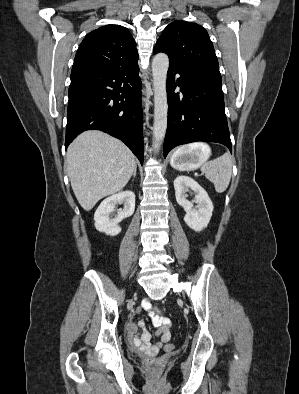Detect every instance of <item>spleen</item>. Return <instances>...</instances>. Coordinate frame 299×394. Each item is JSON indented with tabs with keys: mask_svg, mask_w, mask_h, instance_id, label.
<instances>
[{
	"mask_svg": "<svg viewBox=\"0 0 299 394\" xmlns=\"http://www.w3.org/2000/svg\"><path fill=\"white\" fill-rule=\"evenodd\" d=\"M188 147L189 149L203 147L210 150L209 146L204 143H194ZM232 165L231 155L225 153L201 167L202 173L214 184L217 193H223L228 188L232 174Z\"/></svg>",
	"mask_w": 299,
	"mask_h": 394,
	"instance_id": "1",
	"label": "spleen"
}]
</instances>
